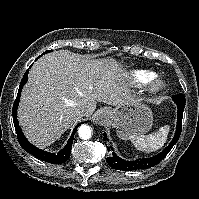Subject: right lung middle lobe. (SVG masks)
I'll return each mask as SVG.
<instances>
[{
	"instance_id": "obj_1",
	"label": "right lung middle lobe",
	"mask_w": 199,
	"mask_h": 199,
	"mask_svg": "<svg viewBox=\"0 0 199 199\" xmlns=\"http://www.w3.org/2000/svg\"><path fill=\"white\" fill-rule=\"evenodd\" d=\"M50 51H51V50H50ZM50 51H46V52H44L43 54L48 53V52H50Z\"/></svg>"
}]
</instances>
